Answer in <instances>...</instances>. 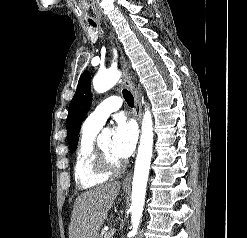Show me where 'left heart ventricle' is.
Returning a JSON list of instances; mask_svg holds the SVG:
<instances>
[{
    "label": "left heart ventricle",
    "instance_id": "1",
    "mask_svg": "<svg viewBox=\"0 0 247 238\" xmlns=\"http://www.w3.org/2000/svg\"><path fill=\"white\" fill-rule=\"evenodd\" d=\"M101 149L104 151V153L113 161L118 162L120 159H118L112 152V141L111 139H106L102 141L100 144Z\"/></svg>",
    "mask_w": 247,
    "mask_h": 238
}]
</instances>
